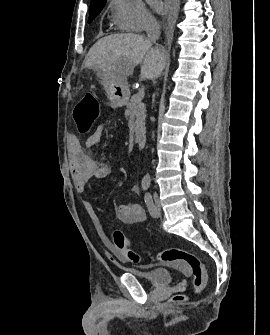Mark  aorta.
I'll list each match as a JSON object with an SVG mask.
<instances>
[{"label":"aorta","mask_w":270,"mask_h":335,"mask_svg":"<svg viewBox=\"0 0 270 335\" xmlns=\"http://www.w3.org/2000/svg\"><path fill=\"white\" fill-rule=\"evenodd\" d=\"M144 177H148V175H144Z\"/></svg>","instance_id":"obj_1"}]
</instances>
